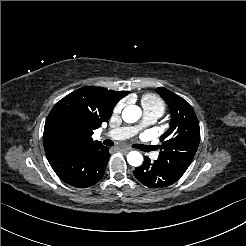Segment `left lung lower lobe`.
<instances>
[{
    "mask_svg": "<svg viewBox=\"0 0 246 246\" xmlns=\"http://www.w3.org/2000/svg\"><path fill=\"white\" fill-rule=\"evenodd\" d=\"M134 175L142 184L150 188L166 187L180 178L158 161L151 162L148 157H145L143 165L134 170Z\"/></svg>",
    "mask_w": 246,
    "mask_h": 246,
    "instance_id": "0a47b994",
    "label": "left lung lower lobe"
}]
</instances>
